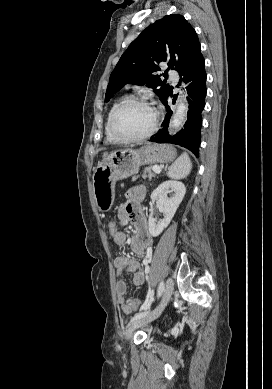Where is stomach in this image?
Returning <instances> with one entry per match:
<instances>
[{"instance_id": "1", "label": "stomach", "mask_w": 272, "mask_h": 389, "mask_svg": "<svg viewBox=\"0 0 272 389\" xmlns=\"http://www.w3.org/2000/svg\"><path fill=\"white\" fill-rule=\"evenodd\" d=\"M175 157V148L165 144H147L139 149L112 152L97 165L92 177L95 203L99 211L107 212L112 208L118 180L136 174L143 164L166 163Z\"/></svg>"}]
</instances>
